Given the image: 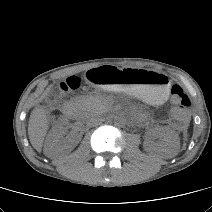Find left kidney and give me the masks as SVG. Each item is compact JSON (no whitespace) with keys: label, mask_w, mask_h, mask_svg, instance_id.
<instances>
[{"label":"left kidney","mask_w":212,"mask_h":212,"mask_svg":"<svg viewBox=\"0 0 212 212\" xmlns=\"http://www.w3.org/2000/svg\"><path fill=\"white\" fill-rule=\"evenodd\" d=\"M154 135L162 138V140L156 143L151 139H146L144 148L147 152L157 153L165 158H172L177 155L180 141L178 135L173 130L164 127L157 128L154 130Z\"/></svg>","instance_id":"obj_1"}]
</instances>
